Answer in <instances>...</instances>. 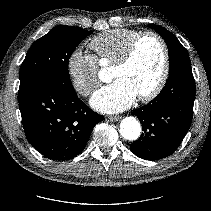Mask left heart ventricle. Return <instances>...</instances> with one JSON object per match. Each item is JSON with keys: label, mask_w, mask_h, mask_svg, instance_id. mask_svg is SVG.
<instances>
[{"label": "left heart ventricle", "mask_w": 211, "mask_h": 211, "mask_svg": "<svg viewBox=\"0 0 211 211\" xmlns=\"http://www.w3.org/2000/svg\"><path fill=\"white\" fill-rule=\"evenodd\" d=\"M163 66L161 45L152 37L144 38L138 45L133 60L124 68L112 69L113 80H123L137 94L149 92L157 83Z\"/></svg>", "instance_id": "b2bd125f"}]
</instances>
